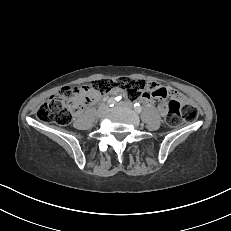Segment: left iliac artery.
Masks as SVG:
<instances>
[{
  "label": "left iliac artery",
  "instance_id": "44dca946",
  "mask_svg": "<svg viewBox=\"0 0 231 231\" xmlns=\"http://www.w3.org/2000/svg\"><path fill=\"white\" fill-rule=\"evenodd\" d=\"M134 109H135V111H136L137 113H141V111H142V107L140 106L139 103H135V104H134Z\"/></svg>",
  "mask_w": 231,
  "mask_h": 231
}]
</instances>
